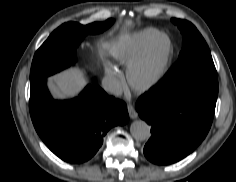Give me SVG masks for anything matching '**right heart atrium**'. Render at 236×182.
I'll return each instance as SVG.
<instances>
[{"label":"right heart atrium","instance_id":"obj_1","mask_svg":"<svg viewBox=\"0 0 236 182\" xmlns=\"http://www.w3.org/2000/svg\"><path fill=\"white\" fill-rule=\"evenodd\" d=\"M105 82L107 86L113 90L118 91L124 85V77L121 71L113 64L107 63L105 65Z\"/></svg>","mask_w":236,"mask_h":182}]
</instances>
